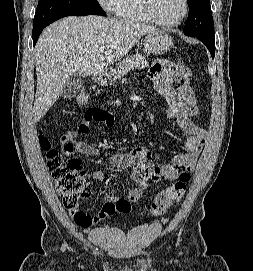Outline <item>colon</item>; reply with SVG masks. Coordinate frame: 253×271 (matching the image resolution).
<instances>
[{
	"label": "colon",
	"mask_w": 253,
	"mask_h": 271,
	"mask_svg": "<svg viewBox=\"0 0 253 271\" xmlns=\"http://www.w3.org/2000/svg\"><path fill=\"white\" fill-rule=\"evenodd\" d=\"M179 67L185 72H190L184 63H180ZM74 99L77 104L85 105L89 96L85 89H80ZM86 115L95 121L110 119L109 112L101 109H92ZM39 144L47 152L48 167L65 209L78 225L90 227L96 222V219L81 208L82 200L91 195V187L85 181V170L81 160L77 157L62 155L58 150L52 148L50 140L44 135L39 137ZM189 180L190 174L185 173L176 182L160 191L151 203V214L155 217L161 216L173 202L181 200ZM107 207H111L119 213H128L131 209L130 201L125 198H120Z\"/></svg>",
	"instance_id": "obj_1"
}]
</instances>
